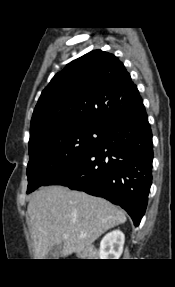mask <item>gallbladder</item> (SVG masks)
Here are the masks:
<instances>
[{"label":"gallbladder","instance_id":"obj_1","mask_svg":"<svg viewBox=\"0 0 175 287\" xmlns=\"http://www.w3.org/2000/svg\"><path fill=\"white\" fill-rule=\"evenodd\" d=\"M62 248H63V242H60L59 244H54L48 250L45 259H58V257L62 252Z\"/></svg>","mask_w":175,"mask_h":287}]
</instances>
